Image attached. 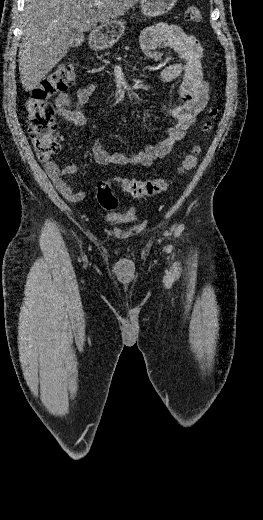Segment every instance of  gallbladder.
Here are the masks:
<instances>
[{
    "label": "gallbladder",
    "mask_w": 263,
    "mask_h": 520,
    "mask_svg": "<svg viewBox=\"0 0 263 520\" xmlns=\"http://www.w3.org/2000/svg\"><path fill=\"white\" fill-rule=\"evenodd\" d=\"M68 38L71 41V47H79L83 41V35L75 28L69 30Z\"/></svg>",
    "instance_id": "bac80fb5"
}]
</instances>
